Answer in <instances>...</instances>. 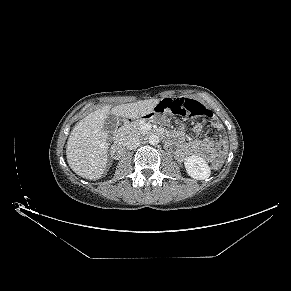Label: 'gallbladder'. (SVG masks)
Segmentation results:
<instances>
[{
	"mask_svg": "<svg viewBox=\"0 0 291 291\" xmlns=\"http://www.w3.org/2000/svg\"><path fill=\"white\" fill-rule=\"evenodd\" d=\"M119 118L113 113H109L104 119V130L108 134L109 138H112L118 128Z\"/></svg>",
	"mask_w": 291,
	"mask_h": 291,
	"instance_id": "1",
	"label": "gallbladder"
}]
</instances>
